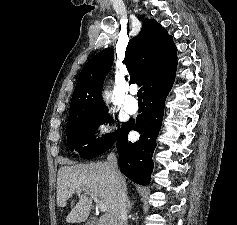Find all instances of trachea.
Instances as JSON below:
<instances>
[{"label":"trachea","instance_id":"3493384b","mask_svg":"<svg viewBox=\"0 0 237 225\" xmlns=\"http://www.w3.org/2000/svg\"><path fill=\"white\" fill-rule=\"evenodd\" d=\"M137 97H138V100H142V88L138 90Z\"/></svg>","mask_w":237,"mask_h":225}]
</instances>
